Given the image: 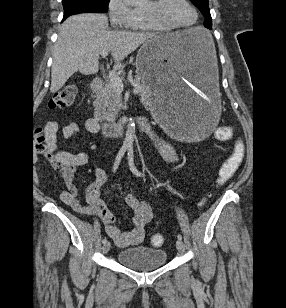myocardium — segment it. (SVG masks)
<instances>
[{"mask_svg": "<svg viewBox=\"0 0 286 308\" xmlns=\"http://www.w3.org/2000/svg\"><path fill=\"white\" fill-rule=\"evenodd\" d=\"M184 1L195 13V20H194L193 23H191L189 25L174 24L171 21H169L166 17L163 16V14L160 11V8L164 4H166L167 0H154V3L156 5L158 11L157 12L147 11V12H145V14L151 21H153L154 23H156L159 26L167 27V28H170V29H190V28H193L197 25L198 20H199V13H198L196 7L194 6V4L190 0H184Z\"/></svg>", "mask_w": 286, "mask_h": 308, "instance_id": "f54148a6", "label": "myocardium"}]
</instances>
